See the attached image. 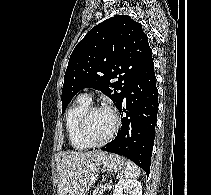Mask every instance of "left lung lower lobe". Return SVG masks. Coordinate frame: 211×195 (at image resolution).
I'll list each match as a JSON object with an SVG mask.
<instances>
[{"label":"left lung lower lobe","instance_id":"obj_1","mask_svg":"<svg viewBox=\"0 0 211 195\" xmlns=\"http://www.w3.org/2000/svg\"><path fill=\"white\" fill-rule=\"evenodd\" d=\"M118 109L122 127L101 150L127 157L149 175L158 112L153 59L134 78Z\"/></svg>","mask_w":211,"mask_h":195}]
</instances>
